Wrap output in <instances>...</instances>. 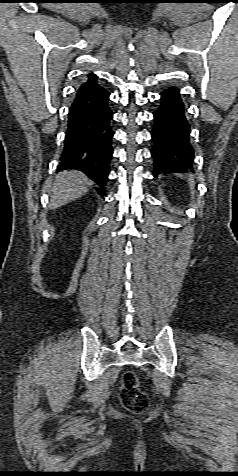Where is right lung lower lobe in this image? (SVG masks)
<instances>
[{
  "label": "right lung lower lobe",
  "instance_id": "obj_1",
  "mask_svg": "<svg viewBox=\"0 0 238 476\" xmlns=\"http://www.w3.org/2000/svg\"><path fill=\"white\" fill-rule=\"evenodd\" d=\"M95 80L90 87L77 93L71 104L58 171H82L104 194L113 153V112L109 106L110 93Z\"/></svg>",
  "mask_w": 238,
  "mask_h": 476
}]
</instances>
